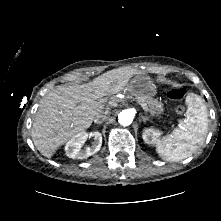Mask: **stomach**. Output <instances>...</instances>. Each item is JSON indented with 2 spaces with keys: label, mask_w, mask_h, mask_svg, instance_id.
I'll return each mask as SVG.
<instances>
[{
  "label": "stomach",
  "mask_w": 221,
  "mask_h": 221,
  "mask_svg": "<svg viewBox=\"0 0 221 221\" xmlns=\"http://www.w3.org/2000/svg\"><path fill=\"white\" fill-rule=\"evenodd\" d=\"M133 95H140L147 101H154L159 96L158 87L146 76H138L130 84Z\"/></svg>",
  "instance_id": "stomach-1"
}]
</instances>
